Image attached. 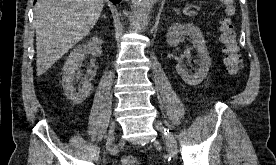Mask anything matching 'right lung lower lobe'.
Segmentation results:
<instances>
[{"label":"right lung lower lobe","mask_w":276,"mask_h":165,"mask_svg":"<svg viewBox=\"0 0 276 165\" xmlns=\"http://www.w3.org/2000/svg\"><path fill=\"white\" fill-rule=\"evenodd\" d=\"M110 1H112L113 3H115V4H117V3H119L121 0H110ZM36 2V0H34V3Z\"/></svg>","instance_id":"98d812e1"}]
</instances>
